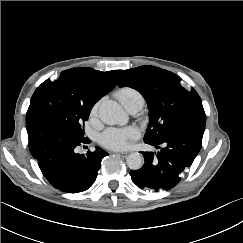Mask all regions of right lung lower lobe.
<instances>
[{
	"mask_svg": "<svg viewBox=\"0 0 243 243\" xmlns=\"http://www.w3.org/2000/svg\"><path fill=\"white\" fill-rule=\"evenodd\" d=\"M26 129L30 152L56 189L77 193L92 186L106 151L96 147L94 152L76 153V148L89 140L47 117L26 119Z\"/></svg>",
	"mask_w": 243,
	"mask_h": 243,
	"instance_id": "1",
	"label": "right lung lower lobe"
}]
</instances>
